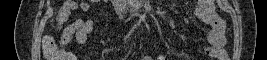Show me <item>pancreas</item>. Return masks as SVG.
I'll list each match as a JSON object with an SVG mask.
<instances>
[{
    "label": "pancreas",
    "instance_id": "obj_1",
    "mask_svg": "<svg viewBox=\"0 0 267 60\" xmlns=\"http://www.w3.org/2000/svg\"><path fill=\"white\" fill-rule=\"evenodd\" d=\"M125 4L129 5L133 9H136L134 6V0H125Z\"/></svg>",
    "mask_w": 267,
    "mask_h": 60
}]
</instances>
